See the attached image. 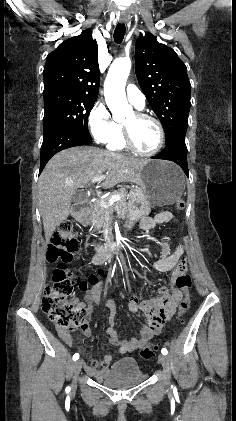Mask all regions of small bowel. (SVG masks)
Masks as SVG:
<instances>
[{"instance_id":"1","label":"small bowel","mask_w":236,"mask_h":421,"mask_svg":"<svg viewBox=\"0 0 236 421\" xmlns=\"http://www.w3.org/2000/svg\"><path fill=\"white\" fill-rule=\"evenodd\" d=\"M172 219H174V216L172 215V213L162 212V213L158 214L156 217H146V218L142 219L141 222H140V228L143 229V230H152V229H155L159 224L164 223V222H168ZM181 254H182V251L177 250L174 253V255H172L169 258V261L170 262H176L180 258ZM96 302H102L101 301V288L100 287H95L94 289L90 290L87 293V295L85 296L84 302L76 301L77 304L86 307L88 311H90L92 309L93 304L96 303ZM103 303L111 311L110 324L113 326L114 317H115V305L111 301H105ZM143 306L145 308V305H143ZM130 308L133 311L137 310V308H138L137 300L134 297H132L131 300H130ZM84 334L86 336H88V335H90V331L87 330V331H85ZM59 335L67 344H72L73 341H74L73 336L69 332L59 331ZM150 337H151V335L145 337V340L149 339ZM111 359H112L111 356H108L104 359L103 362H101V367H103V368H102V370H100L101 375H100L99 378L103 377L104 373L106 372V367L111 362ZM93 366H95V363L93 364Z\"/></svg>"}]
</instances>
